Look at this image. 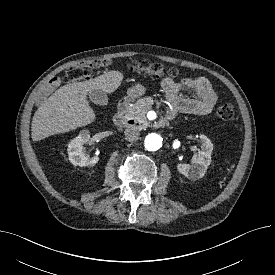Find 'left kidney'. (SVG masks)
I'll list each match as a JSON object with an SVG mask.
<instances>
[{
  "label": "left kidney",
  "instance_id": "left-kidney-1",
  "mask_svg": "<svg viewBox=\"0 0 275 275\" xmlns=\"http://www.w3.org/2000/svg\"><path fill=\"white\" fill-rule=\"evenodd\" d=\"M199 138L202 144L201 150L193 156L192 165L183 163L177 165L179 173L191 180L202 178L211 163L213 144L205 135H200Z\"/></svg>",
  "mask_w": 275,
  "mask_h": 275
}]
</instances>
